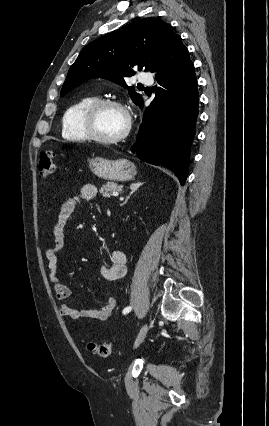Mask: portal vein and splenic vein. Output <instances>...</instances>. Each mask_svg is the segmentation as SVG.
<instances>
[{
    "mask_svg": "<svg viewBox=\"0 0 269 426\" xmlns=\"http://www.w3.org/2000/svg\"><path fill=\"white\" fill-rule=\"evenodd\" d=\"M119 195V193L118 192H116V191H114L113 193H112V196H114V197H117Z\"/></svg>",
    "mask_w": 269,
    "mask_h": 426,
    "instance_id": "18ae733b",
    "label": "portal vein and splenic vein"
}]
</instances>
